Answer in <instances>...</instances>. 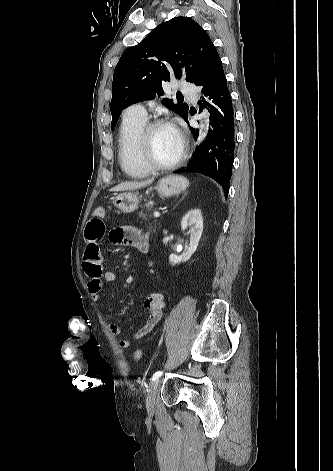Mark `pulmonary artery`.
<instances>
[{"mask_svg":"<svg viewBox=\"0 0 333 471\" xmlns=\"http://www.w3.org/2000/svg\"><path fill=\"white\" fill-rule=\"evenodd\" d=\"M179 89L183 94L193 99L196 98L195 88L191 84L181 81L179 83ZM125 113L128 116H134V117L143 118V119L147 118V112L142 104L131 105L130 107L127 108Z\"/></svg>","mask_w":333,"mask_h":471,"instance_id":"e3ab8cb5","label":"pulmonary artery"}]
</instances>
